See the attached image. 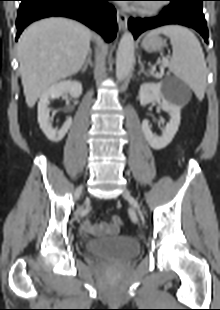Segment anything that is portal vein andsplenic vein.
Listing matches in <instances>:
<instances>
[{
  "instance_id": "portal-vein-and-splenic-vein-1",
  "label": "portal vein and splenic vein",
  "mask_w": 220,
  "mask_h": 310,
  "mask_svg": "<svg viewBox=\"0 0 220 310\" xmlns=\"http://www.w3.org/2000/svg\"><path fill=\"white\" fill-rule=\"evenodd\" d=\"M163 63H164V65H166V64H167V60L165 59V60L163 61ZM155 76H156V77H161V75H159V74H155Z\"/></svg>"
}]
</instances>
